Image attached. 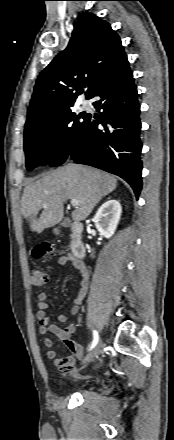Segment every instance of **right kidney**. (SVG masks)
I'll return each mask as SVG.
<instances>
[{"instance_id":"ca27d5eb","label":"right kidney","mask_w":174,"mask_h":440,"mask_svg":"<svg viewBox=\"0 0 174 440\" xmlns=\"http://www.w3.org/2000/svg\"><path fill=\"white\" fill-rule=\"evenodd\" d=\"M121 204L115 199L106 201L94 216V223L100 234L110 238L115 233L121 217Z\"/></svg>"}]
</instances>
